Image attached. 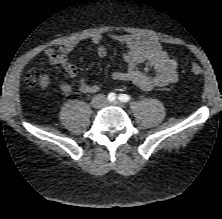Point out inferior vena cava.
<instances>
[{"label": "inferior vena cava", "instance_id": "inferior-vena-cava-1", "mask_svg": "<svg viewBox=\"0 0 222 219\" xmlns=\"http://www.w3.org/2000/svg\"><path fill=\"white\" fill-rule=\"evenodd\" d=\"M95 99L101 100L103 103H105V97L102 94L96 95Z\"/></svg>", "mask_w": 222, "mask_h": 219}]
</instances>
